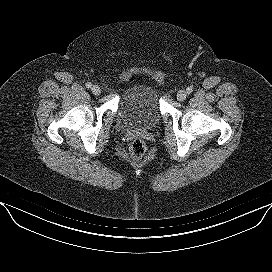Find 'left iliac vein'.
I'll return each mask as SVG.
<instances>
[{
  "label": "left iliac vein",
  "instance_id": "4c4485c4",
  "mask_svg": "<svg viewBox=\"0 0 272 272\" xmlns=\"http://www.w3.org/2000/svg\"><path fill=\"white\" fill-rule=\"evenodd\" d=\"M186 97H187V92L185 90L178 91V93H177V99L179 101H184L186 99Z\"/></svg>",
  "mask_w": 272,
  "mask_h": 272
}]
</instances>
